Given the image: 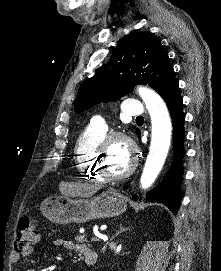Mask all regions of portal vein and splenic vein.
Here are the masks:
<instances>
[{
    "label": "portal vein and splenic vein",
    "mask_w": 221,
    "mask_h": 271,
    "mask_svg": "<svg viewBox=\"0 0 221 271\" xmlns=\"http://www.w3.org/2000/svg\"><path fill=\"white\" fill-rule=\"evenodd\" d=\"M91 237V242H101V237H95L93 234L90 236Z\"/></svg>",
    "instance_id": "18ae733b"
}]
</instances>
